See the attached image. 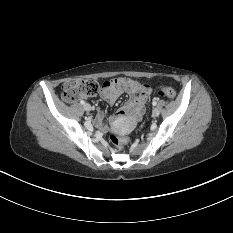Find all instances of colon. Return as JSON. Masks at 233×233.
Returning a JSON list of instances; mask_svg holds the SVG:
<instances>
[{
	"mask_svg": "<svg viewBox=\"0 0 233 233\" xmlns=\"http://www.w3.org/2000/svg\"><path fill=\"white\" fill-rule=\"evenodd\" d=\"M99 89L100 85L94 79H71L64 82L62 85V98L66 102L71 103L79 97L94 96L98 93ZM159 93L169 99H174L177 95L176 91L167 85H161L159 87ZM110 141L118 148H121L126 143V139L117 134H112L110 136Z\"/></svg>",
	"mask_w": 233,
	"mask_h": 233,
	"instance_id": "colon-1",
	"label": "colon"
}]
</instances>
